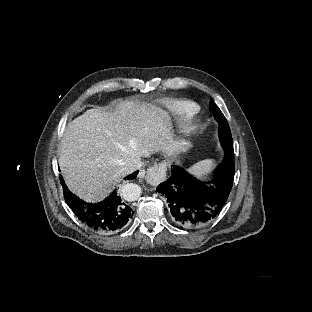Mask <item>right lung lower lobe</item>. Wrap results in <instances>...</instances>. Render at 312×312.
Returning <instances> with one entry per match:
<instances>
[{"label":"right lung lower lobe","mask_w":312,"mask_h":312,"mask_svg":"<svg viewBox=\"0 0 312 312\" xmlns=\"http://www.w3.org/2000/svg\"><path fill=\"white\" fill-rule=\"evenodd\" d=\"M138 171L125 179L136 178ZM60 181L64 191L66 203L73 210L78 219L88 228L101 234H112L126 227L134 214L130 204L115 189L104 201L86 203L65 186L62 176Z\"/></svg>","instance_id":"1"}]
</instances>
